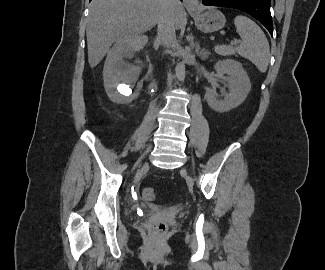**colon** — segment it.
<instances>
[{
  "mask_svg": "<svg viewBox=\"0 0 325 270\" xmlns=\"http://www.w3.org/2000/svg\"><path fill=\"white\" fill-rule=\"evenodd\" d=\"M142 195L146 201H152L155 199V191L153 188L150 187L144 188ZM166 230H167V226L165 223L162 222L155 224L153 227V231L159 234L164 233Z\"/></svg>",
  "mask_w": 325,
  "mask_h": 270,
  "instance_id": "1",
  "label": "colon"
}]
</instances>
